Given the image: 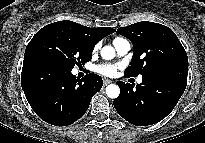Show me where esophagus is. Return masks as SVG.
I'll use <instances>...</instances> for the list:
<instances>
[{
    "instance_id": "34e87169",
    "label": "esophagus",
    "mask_w": 205,
    "mask_h": 143,
    "mask_svg": "<svg viewBox=\"0 0 205 143\" xmlns=\"http://www.w3.org/2000/svg\"><path fill=\"white\" fill-rule=\"evenodd\" d=\"M110 83H112V81L109 80V79H104V80H103L104 86H106V85H108V84H110Z\"/></svg>"
}]
</instances>
